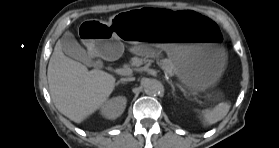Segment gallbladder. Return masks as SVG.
<instances>
[{
    "label": "gallbladder",
    "instance_id": "gallbladder-1",
    "mask_svg": "<svg viewBox=\"0 0 279 148\" xmlns=\"http://www.w3.org/2000/svg\"><path fill=\"white\" fill-rule=\"evenodd\" d=\"M60 43L67 56L83 63L89 62L90 58L86 50L78 43L71 32L67 31L61 38Z\"/></svg>",
    "mask_w": 279,
    "mask_h": 148
}]
</instances>
